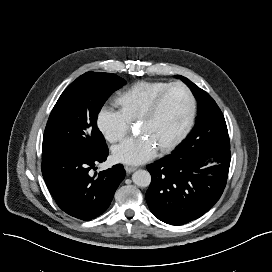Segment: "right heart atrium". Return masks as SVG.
Wrapping results in <instances>:
<instances>
[{"instance_id": "obj_1", "label": "right heart atrium", "mask_w": 272, "mask_h": 272, "mask_svg": "<svg viewBox=\"0 0 272 272\" xmlns=\"http://www.w3.org/2000/svg\"><path fill=\"white\" fill-rule=\"evenodd\" d=\"M95 125L108 142L116 143L123 139L129 131L130 121L120 109L105 103L96 113Z\"/></svg>"}]
</instances>
